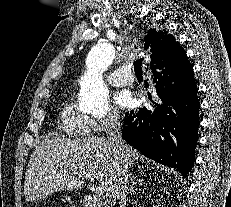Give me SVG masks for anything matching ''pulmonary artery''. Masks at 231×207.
<instances>
[{
	"label": "pulmonary artery",
	"mask_w": 231,
	"mask_h": 207,
	"mask_svg": "<svg viewBox=\"0 0 231 207\" xmlns=\"http://www.w3.org/2000/svg\"><path fill=\"white\" fill-rule=\"evenodd\" d=\"M133 79L129 67L122 66L109 76L108 81L114 86H127L133 82Z\"/></svg>",
	"instance_id": "e3ab8cb5"
}]
</instances>
